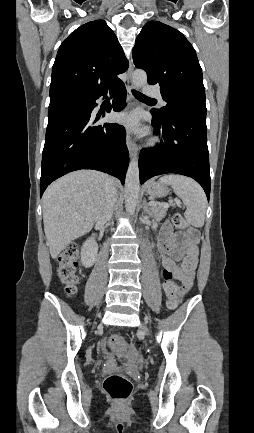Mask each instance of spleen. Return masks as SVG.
<instances>
[{"instance_id": "spleen-1", "label": "spleen", "mask_w": 254, "mask_h": 433, "mask_svg": "<svg viewBox=\"0 0 254 433\" xmlns=\"http://www.w3.org/2000/svg\"><path fill=\"white\" fill-rule=\"evenodd\" d=\"M159 181L170 185L175 194L181 198L186 206L184 216L187 222L194 227H202L205 220L207 199L201 186L189 177L175 174L164 175Z\"/></svg>"}]
</instances>
